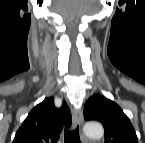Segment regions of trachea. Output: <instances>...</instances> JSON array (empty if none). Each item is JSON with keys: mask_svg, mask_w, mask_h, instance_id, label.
Returning a JSON list of instances; mask_svg holds the SVG:
<instances>
[{"mask_svg": "<svg viewBox=\"0 0 145 143\" xmlns=\"http://www.w3.org/2000/svg\"><path fill=\"white\" fill-rule=\"evenodd\" d=\"M64 142L65 143H81L79 139L78 129L75 131L65 130L64 132Z\"/></svg>", "mask_w": 145, "mask_h": 143, "instance_id": "3493384b", "label": "trachea"}]
</instances>
